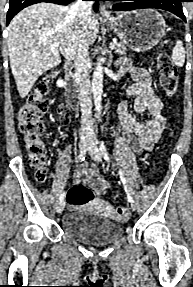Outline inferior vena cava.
Listing matches in <instances>:
<instances>
[{
	"instance_id": "inferior-vena-cava-1",
	"label": "inferior vena cava",
	"mask_w": 193,
	"mask_h": 287,
	"mask_svg": "<svg viewBox=\"0 0 193 287\" xmlns=\"http://www.w3.org/2000/svg\"><path fill=\"white\" fill-rule=\"evenodd\" d=\"M93 1L77 0L71 7L70 12L77 15L80 23L85 28L91 19V8ZM75 80L79 88V99L81 106V138L91 140L95 138L92 127V102H91V85L89 77L90 57L89 47L83 36L74 58Z\"/></svg>"
}]
</instances>
